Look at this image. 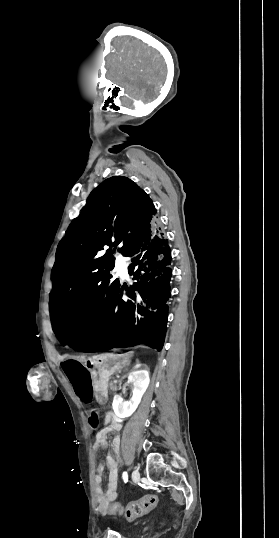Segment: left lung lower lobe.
Segmentation results:
<instances>
[{"label": "left lung lower lobe", "instance_id": "1", "mask_svg": "<svg viewBox=\"0 0 279 538\" xmlns=\"http://www.w3.org/2000/svg\"><path fill=\"white\" fill-rule=\"evenodd\" d=\"M160 230L150 226L128 250L132 261L128 271L135 280L130 288L124 287L130 299L123 301V287L119 288L97 330L90 336L63 333L59 337L62 345L69 344L82 352L136 345L161 351L167 329L171 253Z\"/></svg>", "mask_w": 279, "mask_h": 538}]
</instances>
